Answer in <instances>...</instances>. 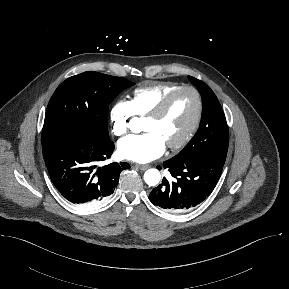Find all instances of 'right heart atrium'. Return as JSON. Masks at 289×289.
Masks as SVG:
<instances>
[{"instance_id": "right-heart-atrium-1", "label": "right heart atrium", "mask_w": 289, "mask_h": 289, "mask_svg": "<svg viewBox=\"0 0 289 289\" xmlns=\"http://www.w3.org/2000/svg\"><path fill=\"white\" fill-rule=\"evenodd\" d=\"M133 116L131 102L125 99L117 100L109 112L112 133L118 137L125 135L129 130V124Z\"/></svg>"}]
</instances>
